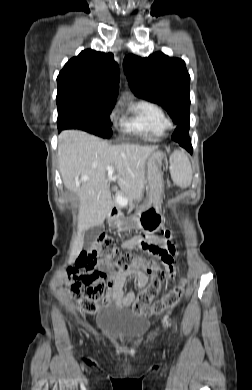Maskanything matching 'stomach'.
Masks as SVG:
<instances>
[{
  "instance_id": "obj_1",
  "label": "stomach",
  "mask_w": 252,
  "mask_h": 390,
  "mask_svg": "<svg viewBox=\"0 0 252 390\" xmlns=\"http://www.w3.org/2000/svg\"><path fill=\"white\" fill-rule=\"evenodd\" d=\"M162 157L153 153L145 164V172L149 182V196L145 204L129 220H111L115 229L121 230L128 224L142 230H155L162 221L161 201L163 195V179L161 172Z\"/></svg>"
}]
</instances>
